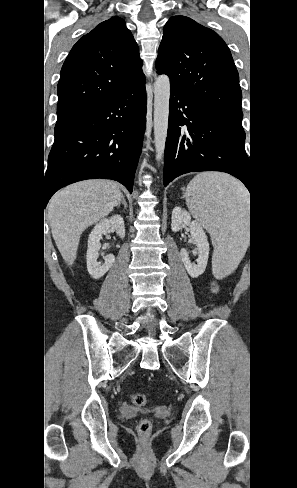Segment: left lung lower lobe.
I'll list each match as a JSON object with an SVG mask.
<instances>
[{
	"label": "left lung lower lobe",
	"instance_id": "left-lung-lower-lobe-1",
	"mask_svg": "<svg viewBox=\"0 0 297 488\" xmlns=\"http://www.w3.org/2000/svg\"><path fill=\"white\" fill-rule=\"evenodd\" d=\"M244 141L242 125L171 90L164 186L188 172L221 171L241 180L251 194V168Z\"/></svg>",
	"mask_w": 297,
	"mask_h": 488
}]
</instances>
